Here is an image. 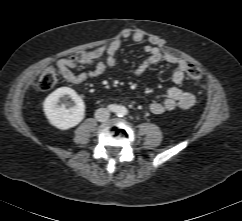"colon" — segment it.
Returning a JSON list of instances; mask_svg holds the SVG:
<instances>
[{"label": "colon", "mask_w": 242, "mask_h": 221, "mask_svg": "<svg viewBox=\"0 0 242 221\" xmlns=\"http://www.w3.org/2000/svg\"><path fill=\"white\" fill-rule=\"evenodd\" d=\"M90 59V55L82 53L75 57L74 60L78 62H85ZM187 75L192 81H200L203 77L201 69L196 65H189L187 67ZM59 80V69L54 66L44 69L38 79V87L42 91L51 90Z\"/></svg>", "instance_id": "obj_1"}]
</instances>
